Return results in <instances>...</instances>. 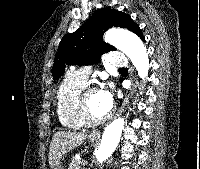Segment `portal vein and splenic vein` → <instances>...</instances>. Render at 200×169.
<instances>
[{
	"instance_id": "obj_1",
	"label": "portal vein and splenic vein",
	"mask_w": 200,
	"mask_h": 169,
	"mask_svg": "<svg viewBox=\"0 0 200 169\" xmlns=\"http://www.w3.org/2000/svg\"><path fill=\"white\" fill-rule=\"evenodd\" d=\"M82 165H87V162L82 161ZM86 169V168H85Z\"/></svg>"
}]
</instances>
